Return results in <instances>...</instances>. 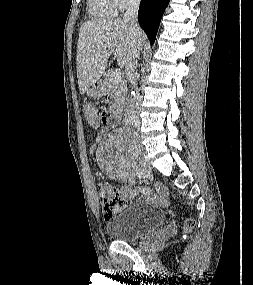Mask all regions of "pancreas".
I'll return each mask as SVG.
<instances>
[{
    "instance_id": "pancreas-1",
    "label": "pancreas",
    "mask_w": 253,
    "mask_h": 285,
    "mask_svg": "<svg viewBox=\"0 0 253 285\" xmlns=\"http://www.w3.org/2000/svg\"><path fill=\"white\" fill-rule=\"evenodd\" d=\"M110 76L111 75H107L103 81L104 94L110 96L112 102L111 109L119 112L122 110V105L124 104L127 84L124 80L114 84L110 81Z\"/></svg>"
}]
</instances>
